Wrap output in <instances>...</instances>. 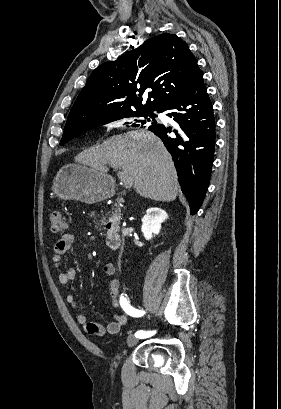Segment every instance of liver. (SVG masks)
<instances>
[{
	"mask_svg": "<svg viewBox=\"0 0 281 409\" xmlns=\"http://www.w3.org/2000/svg\"><path fill=\"white\" fill-rule=\"evenodd\" d=\"M75 160L104 174L109 170L105 164L110 162L113 168H121L132 176L133 188L145 198L170 202L178 194L179 182L172 160L161 138L145 128L115 134L99 146L83 150Z\"/></svg>",
	"mask_w": 281,
	"mask_h": 409,
	"instance_id": "obj_1",
	"label": "liver"
}]
</instances>
